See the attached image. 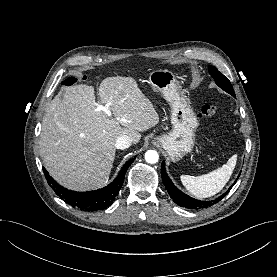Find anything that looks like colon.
I'll return each instance as SVG.
<instances>
[{
    "instance_id": "colon-1",
    "label": "colon",
    "mask_w": 277,
    "mask_h": 277,
    "mask_svg": "<svg viewBox=\"0 0 277 277\" xmlns=\"http://www.w3.org/2000/svg\"><path fill=\"white\" fill-rule=\"evenodd\" d=\"M77 82V78L68 77L62 82V84L65 86H73ZM218 112V106L216 104H207L200 109L197 116L199 119H212L218 115Z\"/></svg>"
}]
</instances>
